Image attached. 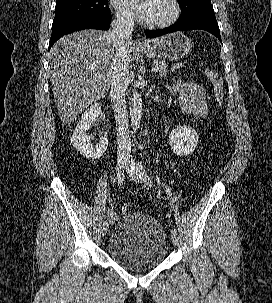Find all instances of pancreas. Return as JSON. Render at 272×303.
I'll list each match as a JSON object with an SVG mask.
<instances>
[{
  "mask_svg": "<svg viewBox=\"0 0 272 303\" xmlns=\"http://www.w3.org/2000/svg\"><path fill=\"white\" fill-rule=\"evenodd\" d=\"M156 66L159 67L160 76H166L167 74V64L165 61H157Z\"/></svg>",
  "mask_w": 272,
  "mask_h": 303,
  "instance_id": "obj_1",
  "label": "pancreas"
}]
</instances>
